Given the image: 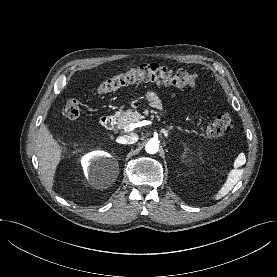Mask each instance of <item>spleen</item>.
I'll return each instance as SVG.
<instances>
[{"instance_id": "3e777b00", "label": "spleen", "mask_w": 277, "mask_h": 277, "mask_svg": "<svg viewBox=\"0 0 277 277\" xmlns=\"http://www.w3.org/2000/svg\"><path fill=\"white\" fill-rule=\"evenodd\" d=\"M242 174H243L242 169H232L229 172L224 185L221 187V189L218 191L217 195L215 196V199L218 200L224 197L225 195H227L232 190V188L237 184V182L240 180Z\"/></svg>"}]
</instances>
